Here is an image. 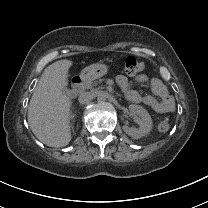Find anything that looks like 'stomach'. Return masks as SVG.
I'll list each match as a JSON object with an SVG mask.
<instances>
[{
	"label": "stomach",
	"instance_id": "1",
	"mask_svg": "<svg viewBox=\"0 0 208 208\" xmlns=\"http://www.w3.org/2000/svg\"><path fill=\"white\" fill-rule=\"evenodd\" d=\"M108 71V66L101 63L92 64L85 67L81 72V77L84 81H91L102 77Z\"/></svg>",
	"mask_w": 208,
	"mask_h": 208
}]
</instances>
